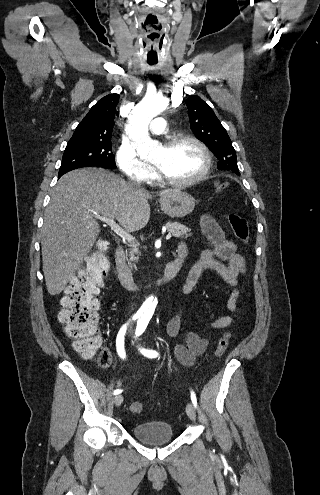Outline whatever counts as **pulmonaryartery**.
<instances>
[{
  "mask_svg": "<svg viewBox=\"0 0 320 495\" xmlns=\"http://www.w3.org/2000/svg\"><path fill=\"white\" fill-rule=\"evenodd\" d=\"M150 131L155 135L164 134L166 132V120L162 117L153 119L150 124Z\"/></svg>",
  "mask_w": 320,
  "mask_h": 495,
  "instance_id": "1",
  "label": "pulmonary artery"
}]
</instances>
